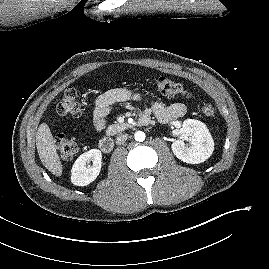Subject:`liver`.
Masks as SVG:
<instances>
[{"label": "liver", "mask_w": 269, "mask_h": 269, "mask_svg": "<svg viewBox=\"0 0 269 269\" xmlns=\"http://www.w3.org/2000/svg\"><path fill=\"white\" fill-rule=\"evenodd\" d=\"M36 147L39 158L46 169L55 176H61V161L56 151L55 140L46 123H42L38 127L36 133Z\"/></svg>", "instance_id": "obj_1"}]
</instances>
